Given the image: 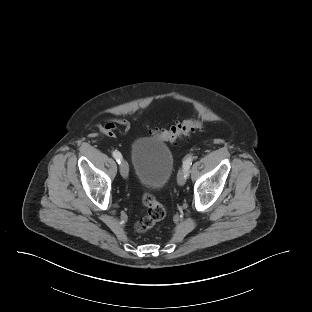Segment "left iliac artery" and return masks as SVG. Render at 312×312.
<instances>
[{"instance_id": "44dca946", "label": "left iliac artery", "mask_w": 312, "mask_h": 312, "mask_svg": "<svg viewBox=\"0 0 312 312\" xmlns=\"http://www.w3.org/2000/svg\"><path fill=\"white\" fill-rule=\"evenodd\" d=\"M193 156L189 155L184 161H183V168L188 172L189 168L192 164Z\"/></svg>"}]
</instances>
